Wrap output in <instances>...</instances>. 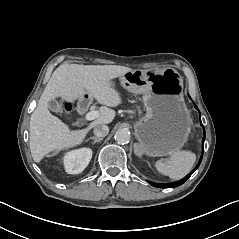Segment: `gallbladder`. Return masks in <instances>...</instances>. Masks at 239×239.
<instances>
[{"mask_svg":"<svg viewBox=\"0 0 239 239\" xmlns=\"http://www.w3.org/2000/svg\"><path fill=\"white\" fill-rule=\"evenodd\" d=\"M48 108L53 112H63L62 106L55 99L48 101Z\"/></svg>","mask_w":239,"mask_h":239,"instance_id":"obj_1","label":"gallbladder"}]
</instances>
